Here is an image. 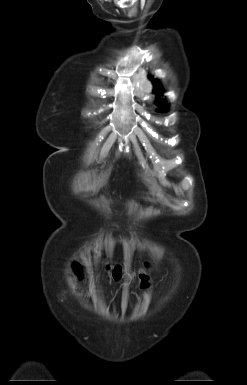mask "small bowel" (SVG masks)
<instances>
[{
	"instance_id": "obj_1",
	"label": "small bowel",
	"mask_w": 247,
	"mask_h": 385,
	"mask_svg": "<svg viewBox=\"0 0 247 385\" xmlns=\"http://www.w3.org/2000/svg\"><path fill=\"white\" fill-rule=\"evenodd\" d=\"M126 300H127V292H125L123 296V307L126 306Z\"/></svg>"
}]
</instances>
